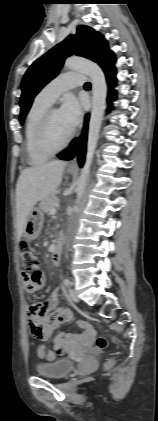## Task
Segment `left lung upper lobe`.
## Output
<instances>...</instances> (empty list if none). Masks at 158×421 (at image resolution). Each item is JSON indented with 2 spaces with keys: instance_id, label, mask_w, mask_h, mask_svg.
I'll list each match as a JSON object with an SVG mask.
<instances>
[{
  "instance_id": "obj_1",
  "label": "left lung upper lobe",
  "mask_w": 158,
  "mask_h": 421,
  "mask_svg": "<svg viewBox=\"0 0 158 421\" xmlns=\"http://www.w3.org/2000/svg\"><path fill=\"white\" fill-rule=\"evenodd\" d=\"M72 53L100 64L112 52L103 35L88 26H78L76 35L69 36L50 49L37 59L24 75L20 98L21 115L19 120L21 123H23L34 97L50 80L57 76L65 58Z\"/></svg>"
}]
</instances>
